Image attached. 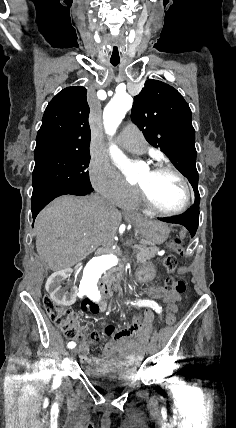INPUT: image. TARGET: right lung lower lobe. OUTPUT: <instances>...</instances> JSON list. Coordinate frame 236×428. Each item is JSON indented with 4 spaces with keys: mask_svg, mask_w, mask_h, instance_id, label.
Wrapping results in <instances>:
<instances>
[{
    "mask_svg": "<svg viewBox=\"0 0 236 428\" xmlns=\"http://www.w3.org/2000/svg\"><path fill=\"white\" fill-rule=\"evenodd\" d=\"M93 191V188H70V189H61V190H55L51 191L42 195H39L37 197L32 198V216H33V222L37 216V214L54 198L71 194V195H79L84 196L86 194H89Z\"/></svg>",
    "mask_w": 236,
    "mask_h": 428,
    "instance_id": "1",
    "label": "right lung lower lobe"
}]
</instances>
